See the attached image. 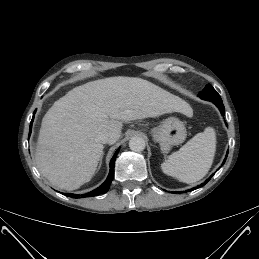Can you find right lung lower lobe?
<instances>
[{
  "label": "right lung lower lobe",
  "instance_id": "1",
  "mask_svg": "<svg viewBox=\"0 0 259 259\" xmlns=\"http://www.w3.org/2000/svg\"><path fill=\"white\" fill-rule=\"evenodd\" d=\"M33 118H34V116L32 117V121H31V124H30L29 135L31 133V127H32ZM118 152H119V149L115 152L113 158L110 161V172H109V175H108L107 179L105 180V182L101 186H99L97 189H95V190H93V191H91L89 193H86V194H82V195L67 194V195L72 197V198H83V197L98 196L100 194L106 193L109 190V186H110V184L112 182V179L114 177V163H115V159H116V156H117Z\"/></svg>",
  "mask_w": 259,
  "mask_h": 259
}]
</instances>
